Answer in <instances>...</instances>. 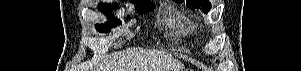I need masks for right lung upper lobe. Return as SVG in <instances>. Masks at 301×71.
Returning <instances> with one entry per match:
<instances>
[{"instance_id": "1", "label": "right lung upper lobe", "mask_w": 301, "mask_h": 71, "mask_svg": "<svg viewBox=\"0 0 301 71\" xmlns=\"http://www.w3.org/2000/svg\"><path fill=\"white\" fill-rule=\"evenodd\" d=\"M135 3H145V4H153L150 0H131Z\"/></svg>"}]
</instances>
